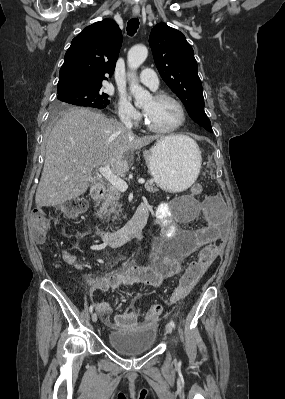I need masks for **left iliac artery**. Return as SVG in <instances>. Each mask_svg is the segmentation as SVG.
<instances>
[{
	"instance_id": "1",
	"label": "left iliac artery",
	"mask_w": 285,
	"mask_h": 399,
	"mask_svg": "<svg viewBox=\"0 0 285 399\" xmlns=\"http://www.w3.org/2000/svg\"><path fill=\"white\" fill-rule=\"evenodd\" d=\"M170 325H171L173 328H175V326H176V324H175V322H174L173 320L170 321Z\"/></svg>"
}]
</instances>
